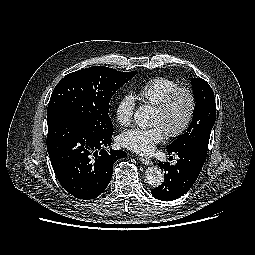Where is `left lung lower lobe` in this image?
<instances>
[{"instance_id": "obj_1", "label": "left lung lower lobe", "mask_w": 255, "mask_h": 255, "mask_svg": "<svg viewBox=\"0 0 255 255\" xmlns=\"http://www.w3.org/2000/svg\"><path fill=\"white\" fill-rule=\"evenodd\" d=\"M207 150L199 146H191L175 151L179 157L176 165H170L168 162L158 163L165 171V180L160 186L151 190L152 195L162 201L175 200L184 195L198 178Z\"/></svg>"}]
</instances>
